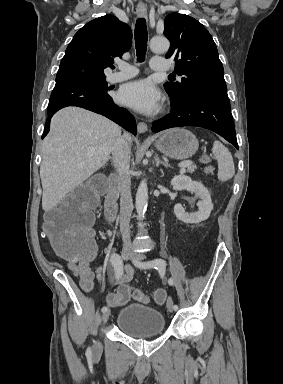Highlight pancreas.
I'll return each instance as SVG.
<instances>
[{
  "mask_svg": "<svg viewBox=\"0 0 283 384\" xmlns=\"http://www.w3.org/2000/svg\"><path fill=\"white\" fill-rule=\"evenodd\" d=\"M195 170H197L196 166H188L187 168V172H189V174H193Z\"/></svg>",
  "mask_w": 283,
  "mask_h": 384,
  "instance_id": "1",
  "label": "pancreas"
}]
</instances>
